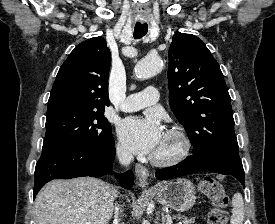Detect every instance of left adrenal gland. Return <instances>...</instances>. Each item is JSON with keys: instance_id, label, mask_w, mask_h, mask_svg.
<instances>
[{"instance_id": "obj_1", "label": "left adrenal gland", "mask_w": 275, "mask_h": 224, "mask_svg": "<svg viewBox=\"0 0 275 224\" xmlns=\"http://www.w3.org/2000/svg\"><path fill=\"white\" fill-rule=\"evenodd\" d=\"M161 224H165V217H164V215H162V223Z\"/></svg>"}]
</instances>
